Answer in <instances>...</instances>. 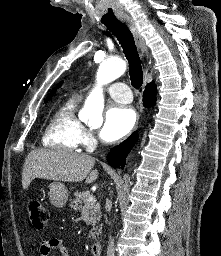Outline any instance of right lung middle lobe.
<instances>
[{
    "mask_svg": "<svg viewBox=\"0 0 221 256\" xmlns=\"http://www.w3.org/2000/svg\"><path fill=\"white\" fill-rule=\"evenodd\" d=\"M52 97V95H50L47 99H46V101H48V99H50Z\"/></svg>",
    "mask_w": 221,
    "mask_h": 256,
    "instance_id": "right-lung-middle-lobe-1",
    "label": "right lung middle lobe"
}]
</instances>
